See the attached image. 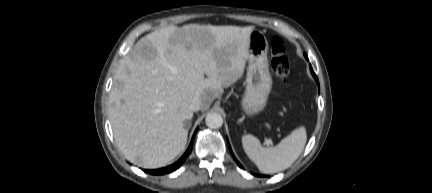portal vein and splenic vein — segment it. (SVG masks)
Instances as JSON below:
<instances>
[{
  "label": "portal vein and splenic vein",
  "instance_id": "1",
  "mask_svg": "<svg viewBox=\"0 0 432 193\" xmlns=\"http://www.w3.org/2000/svg\"><path fill=\"white\" fill-rule=\"evenodd\" d=\"M267 145L271 144V140L266 141Z\"/></svg>",
  "mask_w": 432,
  "mask_h": 193
}]
</instances>
